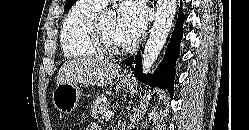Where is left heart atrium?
Returning a JSON list of instances; mask_svg holds the SVG:
<instances>
[{
    "label": "left heart atrium",
    "instance_id": "left-heart-atrium-1",
    "mask_svg": "<svg viewBox=\"0 0 249 130\" xmlns=\"http://www.w3.org/2000/svg\"><path fill=\"white\" fill-rule=\"evenodd\" d=\"M146 23V10L140 3L122 2L116 18V29L122 45L136 43L144 32Z\"/></svg>",
    "mask_w": 249,
    "mask_h": 130
}]
</instances>
